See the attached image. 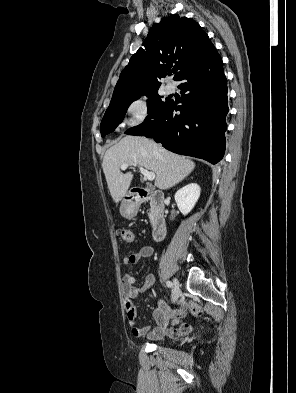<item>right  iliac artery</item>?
Instances as JSON below:
<instances>
[{
    "instance_id": "right-iliac-artery-1",
    "label": "right iliac artery",
    "mask_w": 296,
    "mask_h": 393,
    "mask_svg": "<svg viewBox=\"0 0 296 393\" xmlns=\"http://www.w3.org/2000/svg\"><path fill=\"white\" fill-rule=\"evenodd\" d=\"M166 285H167L169 288H172V287H173V283H172L171 281H167V282H166Z\"/></svg>"
}]
</instances>
